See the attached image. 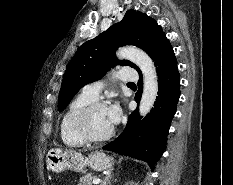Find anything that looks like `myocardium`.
Returning a JSON list of instances; mask_svg holds the SVG:
<instances>
[{"label":"myocardium","instance_id":"f54148a6","mask_svg":"<svg viewBox=\"0 0 233 185\" xmlns=\"http://www.w3.org/2000/svg\"><path fill=\"white\" fill-rule=\"evenodd\" d=\"M97 108H106V105L100 101H92L87 104L77 115L75 120V128L78 135L87 143H101L109 140L115 133L114 126L105 135L97 137L93 136L88 127V119L90 114Z\"/></svg>","mask_w":233,"mask_h":185}]
</instances>
